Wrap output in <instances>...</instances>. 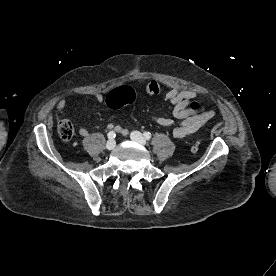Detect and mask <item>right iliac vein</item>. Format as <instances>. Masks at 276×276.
<instances>
[{"mask_svg":"<svg viewBox=\"0 0 276 276\" xmlns=\"http://www.w3.org/2000/svg\"><path fill=\"white\" fill-rule=\"evenodd\" d=\"M115 145H116L115 140L114 139H110L106 143V149L107 150H112V149H114Z\"/></svg>","mask_w":276,"mask_h":276,"instance_id":"obj_1","label":"right iliac vein"}]
</instances>
